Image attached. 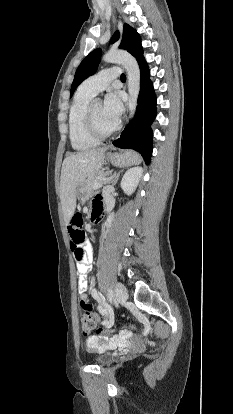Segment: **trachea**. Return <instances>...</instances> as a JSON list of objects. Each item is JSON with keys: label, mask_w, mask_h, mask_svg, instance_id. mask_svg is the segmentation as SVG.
<instances>
[{"label": "trachea", "mask_w": 233, "mask_h": 414, "mask_svg": "<svg viewBox=\"0 0 233 414\" xmlns=\"http://www.w3.org/2000/svg\"><path fill=\"white\" fill-rule=\"evenodd\" d=\"M121 81H126V75L125 74L121 75Z\"/></svg>", "instance_id": "obj_1"}]
</instances>
